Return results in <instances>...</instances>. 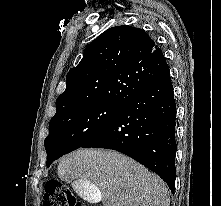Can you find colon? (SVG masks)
I'll return each instance as SVG.
<instances>
[{"instance_id":"5ec220e1","label":"colon","mask_w":221,"mask_h":206,"mask_svg":"<svg viewBox=\"0 0 221 206\" xmlns=\"http://www.w3.org/2000/svg\"><path fill=\"white\" fill-rule=\"evenodd\" d=\"M43 206H83L68 187L58 180H49L45 185Z\"/></svg>"}]
</instances>
